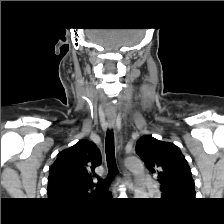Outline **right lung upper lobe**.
<instances>
[{
  "label": "right lung upper lobe",
  "mask_w": 224,
  "mask_h": 224,
  "mask_svg": "<svg viewBox=\"0 0 224 224\" xmlns=\"http://www.w3.org/2000/svg\"><path fill=\"white\" fill-rule=\"evenodd\" d=\"M101 164L99 149L92 142L80 140L61 151L50 167L48 198L63 204L75 203L89 196H97L92 178L95 168ZM89 190H92L89 193Z\"/></svg>",
  "instance_id": "obj_1"
}]
</instances>
